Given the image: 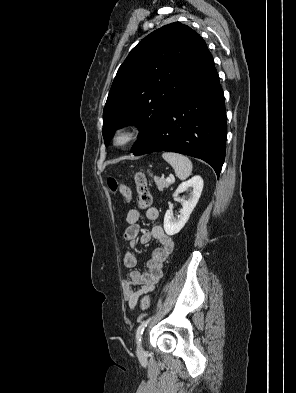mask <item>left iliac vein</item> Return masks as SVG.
<instances>
[{
    "label": "left iliac vein",
    "mask_w": 296,
    "mask_h": 393,
    "mask_svg": "<svg viewBox=\"0 0 296 393\" xmlns=\"http://www.w3.org/2000/svg\"><path fill=\"white\" fill-rule=\"evenodd\" d=\"M137 354L139 356L143 355V348H142V343L139 341L138 347H137Z\"/></svg>",
    "instance_id": "4c4485c4"
}]
</instances>
